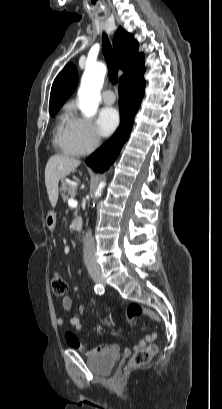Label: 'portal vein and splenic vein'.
<instances>
[{
	"label": "portal vein and splenic vein",
	"instance_id": "18ae733b",
	"mask_svg": "<svg viewBox=\"0 0 222 409\" xmlns=\"http://www.w3.org/2000/svg\"><path fill=\"white\" fill-rule=\"evenodd\" d=\"M69 205H71V206H77V201L74 200V199H70V200H69Z\"/></svg>",
	"mask_w": 222,
	"mask_h": 409
}]
</instances>
